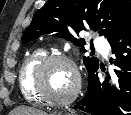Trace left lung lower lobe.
<instances>
[{
	"mask_svg": "<svg viewBox=\"0 0 131 115\" xmlns=\"http://www.w3.org/2000/svg\"><path fill=\"white\" fill-rule=\"evenodd\" d=\"M109 43L115 59L113 73L100 82L97 69L89 75L88 90L73 108L91 115H131V22Z\"/></svg>",
	"mask_w": 131,
	"mask_h": 115,
	"instance_id": "left-lung-lower-lobe-1",
	"label": "left lung lower lobe"
}]
</instances>
